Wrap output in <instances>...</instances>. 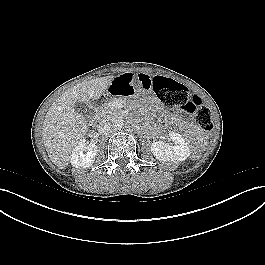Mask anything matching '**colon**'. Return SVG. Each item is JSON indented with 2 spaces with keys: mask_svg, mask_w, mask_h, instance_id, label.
Masks as SVG:
<instances>
[{
  "mask_svg": "<svg viewBox=\"0 0 265 265\" xmlns=\"http://www.w3.org/2000/svg\"><path fill=\"white\" fill-rule=\"evenodd\" d=\"M152 87L163 106L172 110L181 107L185 111L194 114L196 123L203 129L212 127L211 114L202 104L199 97L191 94L181 83L162 76L154 77Z\"/></svg>",
  "mask_w": 265,
  "mask_h": 265,
  "instance_id": "colon-1",
  "label": "colon"
}]
</instances>
